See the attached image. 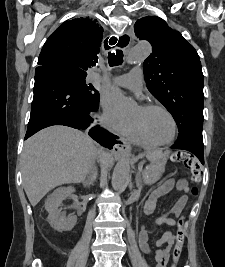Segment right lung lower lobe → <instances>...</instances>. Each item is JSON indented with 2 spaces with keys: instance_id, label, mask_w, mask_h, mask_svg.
Returning <instances> with one entry per match:
<instances>
[{
  "instance_id": "obj_1",
  "label": "right lung lower lobe",
  "mask_w": 225,
  "mask_h": 267,
  "mask_svg": "<svg viewBox=\"0 0 225 267\" xmlns=\"http://www.w3.org/2000/svg\"><path fill=\"white\" fill-rule=\"evenodd\" d=\"M34 96L25 139L52 125L86 129L94 121L93 108L83 99L68 76L52 66H38L35 70ZM89 135L111 149L116 136L93 127Z\"/></svg>"
}]
</instances>
